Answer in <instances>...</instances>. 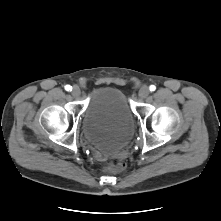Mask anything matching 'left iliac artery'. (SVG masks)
Instances as JSON below:
<instances>
[{
    "label": "left iliac artery",
    "mask_w": 221,
    "mask_h": 221,
    "mask_svg": "<svg viewBox=\"0 0 221 221\" xmlns=\"http://www.w3.org/2000/svg\"><path fill=\"white\" fill-rule=\"evenodd\" d=\"M149 89H150V91H155L156 87H155V85H151V86L149 87Z\"/></svg>",
    "instance_id": "44dca946"
}]
</instances>
